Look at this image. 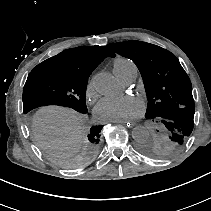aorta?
<instances>
[{"instance_id": "762f6f07", "label": "aorta", "mask_w": 211, "mask_h": 211, "mask_svg": "<svg viewBox=\"0 0 211 211\" xmlns=\"http://www.w3.org/2000/svg\"><path fill=\"white\" fill-rule=\"evenodd\" d=\"M94 86L98 93L106 96L116 95L121 91L119 82L109 73H98L94 78ZM149 131L146 127L139 125L133 128L132 138L136 142L148 139Z\"/></svg>"}]
</instances>
